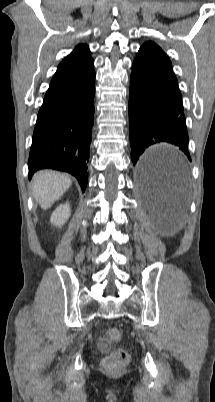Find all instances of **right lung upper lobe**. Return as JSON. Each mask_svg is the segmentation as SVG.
<instances>
[{
	"label": "right lung upper lobe",
	"instance_id": "right-lung-upper-lobe-1",
	"mask_svg": "<svg viewBox=\"0 0 215 402\" xmlns=\"http://www.w3.org/2000/svg\"><path fill=\"white\" fill-rule=\"evenodd\" d=\"M93 64L89 47L86 44L77 45L59 64L44 99L57 96L81 85L94 74Z\"/></svg>",
	"mask_w": 215,
	"mask_h": 402
}]
</instances>
